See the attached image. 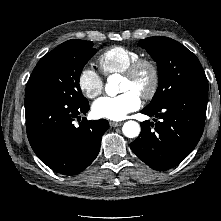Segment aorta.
<instances>
[{
    "mask_svg": "<svg viewBox=\"0 0 221 221\" xmlns=\"http://www.w3.org/2000/svg\"><path fill=\"white\" fill-rule=\"evenodd\" d=\"M105 91L109 96H115L119 92L117 74L110 75L105 85ZM141 128L136 121H127L122 127L123 134L128 138H135L140 134Z\"/></svg>",
    "mask_w": 221,
    "mask_h": 221,
    "instance_id": "1",
    "label": "aorta"
}]
</instances>
